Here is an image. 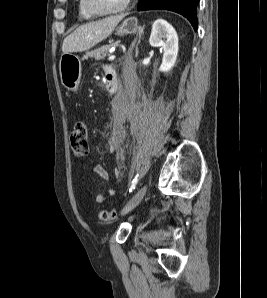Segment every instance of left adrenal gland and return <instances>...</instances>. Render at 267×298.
Segmentation results:
<instances>
[{"mask_svg": "<svg viewBox=\"0 0 267 298\" xmlns=\"http://www.w3.org/2000/svg\"><path fill=\"white\" fill-rule=\"evenodd\" d=\"M142 33H143V29H141V30L139 31V36H138V38L134 39V41L132 42V44H131V46H130V49H129L128 53H127V55H128L129 57L132 55V51H133L134 47H135V58L138 57V54H139L138 45H139V43H140V41H141Z\"/></svg>", "mask_w": 267, "mask_h": 298, "instance_id": "obj_1", "label": "left adrenal gland"}]
</instances>
